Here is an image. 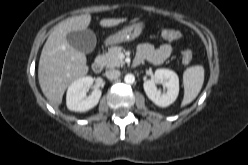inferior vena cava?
<instances>
[{
    "label": "inferior vena cava",
    "mask_w": 248,
    "mask_h": 165,
    "mask_svg": "<svg viewBox=\"0 0 248 165\" xmlns=\"http://www.w3.org/2000/svg\"><path fill=\"white\" fill-rule=\"evenodd\" d=\"M120 74H121L120 71L119 70H115V69H113V70H107L105 72L106 77L108 79H110V80H115V79L119 78Z\"/></svg>",
    "instance_id": "602c4592"
}]
</instances>
